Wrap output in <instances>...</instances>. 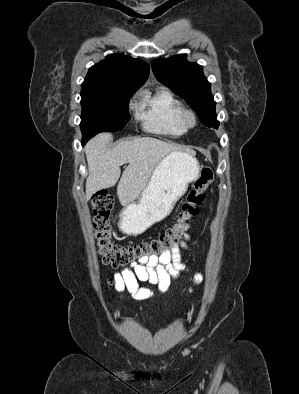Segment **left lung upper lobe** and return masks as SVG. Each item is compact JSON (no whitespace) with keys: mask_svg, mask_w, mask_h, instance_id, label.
I'll use <instances>...</instances> for the list:
<instances>
[{"mask_svg":"<svg viewBox=\"0 0 299 394\" xmlns=\"http://www.w3.org/2000/svg\"><path fill=\"white\" fill-rule=\"evenodd\" d=\"M151 66L157 80L184 98L205 126L218 128L216 102L202 66L188 62L186 54L154 60Z\"/></svg>","mask_w":299,"mask_h":394,"instance_id":"left-lung-upper-lobe-1","label":"left lung upper lobe"}]
</instances>
